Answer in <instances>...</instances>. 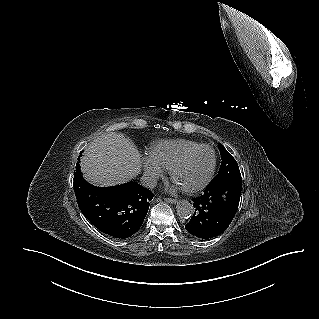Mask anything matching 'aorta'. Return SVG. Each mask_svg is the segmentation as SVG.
Here are the masks:
<instances>
[{"instance_id": "obj_1", "label": "aorta", "mask_w": 319, "mask_h": 319, "mask_svg": "<svg viewBox=\"0 0 319 319\" xmlns=\"http://www.w3.org/2000/svg\"><path fill=\"white\" fill-rule=\"evenodd\" d=\"M177 213L181 218H190L193 214V206L187 200H181L177 204Z\"/></svg>"}]
</instances>
